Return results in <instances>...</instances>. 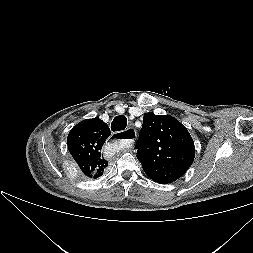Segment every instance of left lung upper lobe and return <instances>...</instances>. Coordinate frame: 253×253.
Segmentation results:
<instances>
[{"label":"left lung upper lobe","instance_id":"obj_1","mask_svg":"<svg viewBox=\"0 0 253 253\" xmlns=\"http://www.w3.org/2000/svg\"><path fill=\"white\" fill-rule=\"evenodd\" d=\"M136 147L144 172L160 184L184 175L195 157L187 128L170 115L145 113Z\"/></svg>","mask_w":253,"mask_h":253}]
</instances>
